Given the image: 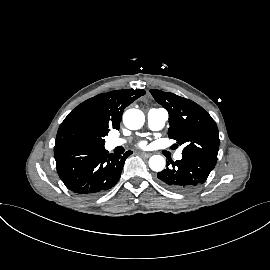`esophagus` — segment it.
<instances>
[{"label": "esophagus", "mask_w": 270, "mask_h": 270, "mask_svg": "<svg viewBox=\"0 0 270 270\" xmlns=\"http://www.w3.org/2000/svg\"><path fill=\"white\" fill-rule=\"evenodd\" d=\"M140 155H141L142 157L148 158V157L151 156V153L140 152Z\"/></svg>", "instance_id": "34e87169"}]
</instances>
